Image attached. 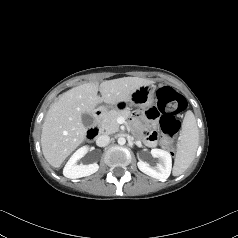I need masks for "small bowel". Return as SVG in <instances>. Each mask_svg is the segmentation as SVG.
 Masks as SVG:
<instances>
[{
  "label": "small bowel",
  "instance_id": "c3829d8e",
  "mask_svg": "<svg viewBox=\"0 0 238 238\" xmlns=\"http://www.w3.org/2000/svg\"><path fill=\"white\" fill-rule=\"evenodd\" d=\"M144 116L148 121L155 122L160 118L161 111L157 106L150 105L145 109ZM143 137L148 146L154 147L157 144V133L155 131L145 130Z\"/></svg>",
  "mask_w": 238,
  "mask_h": 238
}]
</instances>
